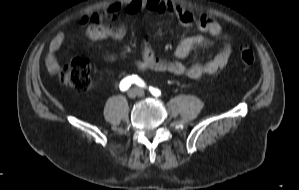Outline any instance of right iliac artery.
I'll use <instances>...</instances> for the list:
<instances>
[{"label":"right iliac artery","mask_w":299,"mask_h":190,"mask_svg":"<svg viewBox=\"0 0 299 190\" xmlns=\"http://www.w3.org/2000/svg\"><path fill=\"white\" fill-rule=\"evenodd\" d=\"M133 83L137 84L140 87L145 86V83L137 75H132V76H128V77L124 78L120 82V89L122 91H126Z\"/></svg>","instance_id":"1"}]
</instances>
